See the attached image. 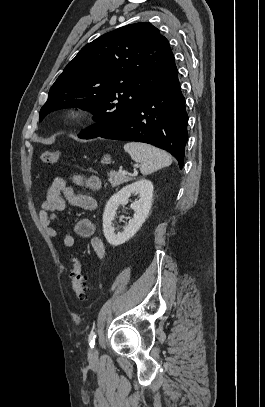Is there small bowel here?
Here are the masks:
<instances>
[{"instance_id": "c3829d8e", "label": "small bowel", "mask_w": 265, "mask_h": 407, "mask_svg": "<svg viewBox=\"0 0 265 407\" xmlns=\"http://www.w3.org/2000/svg\"><path fill=\"white\" fill-rule=\"evenodd\" d=\"M73 182L92 192H97L102 187L101 179L96 175L87 177L76 176L73 178ZM68 203L85 210H93L95 208V201L91 196L76 194L65 178L57 177L48 188L46 199L42 203L39 212L40 222L44 226L45 234L48 238L54 239L58 235V229L54 223L60 216L66 214ZM73 231L79 237L89 238L97 257L100 259L104 258V244L95 235L96 227L92 220L88 218L78 219L74 223ZM63 244L68 248L75 247L76 241L74 236L66 232L63 235Z\"/></svg>"}]
</instances>
